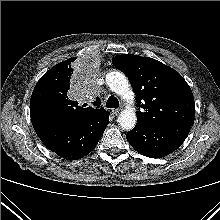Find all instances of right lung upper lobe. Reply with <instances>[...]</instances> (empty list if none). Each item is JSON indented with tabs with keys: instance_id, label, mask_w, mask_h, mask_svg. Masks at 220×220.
Listing matches in <instances>:
<instances>
[{
	"instance_id": "cb5924a9",
	"label": "right lung upper lobe",
	"mask_w": 220,
	"mask_h": 220,
	"mask_svg": "<svg viewBox=\"0 0 220 220\" xmlns=\"http://www.w3.org/2000/svg\"><path fill=\"white\" fill-rule=\"evenodd\" d=\"M76 58L63 61L48 70L37 82L30 101L32 123L41 120H55L73 123L90 115L105 112L103 108H83L70 100L68 90L73 74L72 62ZM99 104V100H97Z\"/></svg>"
}]
</instances>
